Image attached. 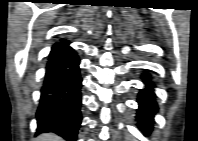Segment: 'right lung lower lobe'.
I'll list each match as a JSON object with an SVG mask.
<instances>
[{
    "instance_id": "98d812e1",
    "label": "right lung lower lobe",
    "mask_w": 198,
    "mask_h": 141,
    "mask_svg": "<svg viewBox=\"0 0 198 141\" xmlns=\"http://www.w3.org/2000/svg\"><path fill=\"white\" fill-rule=\"evenodd\" d=\"M69 44L61 40L52 47L36 117L37 134L53 132L74 141L82 120V77L80 60Z\"/></svg>"
}]
</instances>
